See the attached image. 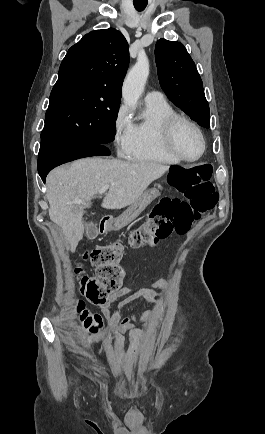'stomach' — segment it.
Returning a JSON list of instances; mask_svg holds the SVG:
<instances>
[{
	"instance_id": "stomach-1",
	"label": "stomach",
	"mask_w": 265,
	"mask_h": 434,
	"mask_svg": "<svg viewBox=\"0 0 265 434\" xmlns=\"http://www.w3.org/2000/svg\"><path fill=\"white\" fill-rule=\"evenodd\" d=\"M157 196H160L159 188H150V190H146V192H143L133 204H131L130 208L126 210L125 214L121 216V220H114V223L108 225V230L112 232H119L122 229V226L118 222H125V224H128V222H132V220H135Z\"/></svg>"
}]
</instances>
